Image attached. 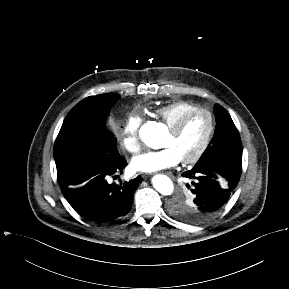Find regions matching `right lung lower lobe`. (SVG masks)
<instances>
[{"label": "right lung lower lobe", "mask_w": 289, "mask_h": 289, "mask_svg": "<svg viewBox=\"0 0 289 289\" xmlns=\"http://www.w3.org/2000/svg\"><path fill=\"white\" fill-rule=\"evenodd\" d=\"M125 165L120 155L99 160L76 158L57 165L58 183L79 215L96 223L114 221L130 211L134 192L142 182L140 176L120 185L107 182L109 176L122 173Z\"/></svg>", "instance_id": "98d812e1"}]
</instances>
